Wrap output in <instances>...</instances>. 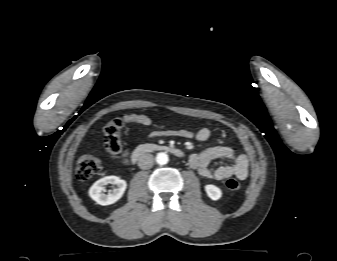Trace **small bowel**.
Here are the masks:
<instances>
[{
	"mask_svg": "<svg viewBox=\"0 0 337 261\" xmlns=\"http://www.w3.org/2000/svg\"><path fill=\"white\" fill-rule=\"evenodd\" d=\"M124 121L145 126L151 125V119L145 115L127 114L124 116ZM148 135L150 137L176 135L183 138H194L197 141L203 142L209 139L211 132L206 127L200 128L195 132L189 130L163 132L157 129H151ZM129 155L130 151L126 150L123 154V160L125 162L128 161ZM215 159H229L233 161V164L211 169L209 165ZM189 165L203 178L224 180L234 176L240 180H244L248 176L249 161L245 154L237 153L228 146H214L207 148L200 153H192L189 156Z\"/></svg>",
	"mask_w": 337,
	"mask_h": 261,
	"instance_id": "c3829d8e",
	"label": "small bowel"
}]
</instances>
